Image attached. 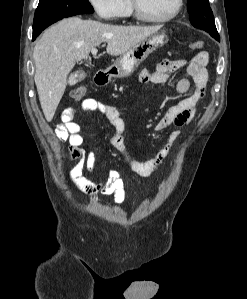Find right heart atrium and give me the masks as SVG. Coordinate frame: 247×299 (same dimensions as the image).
Instances as JSON below:
<instances>
[{"instance_id": "d8ad5b80", "label": "right heart atrium", "mask_w": 247, "mask_h": 299, "mask_svg": "<svg viewBox=\"0 0 247 299\" xmlns=\"http://www.w3.org/2000/svg\"><path fill=\"white\" fill-rule=\"evenodd\" d=\"M97 17L114 21L121 16L122 0H88Z\"/></svg>"}]
</instances>
